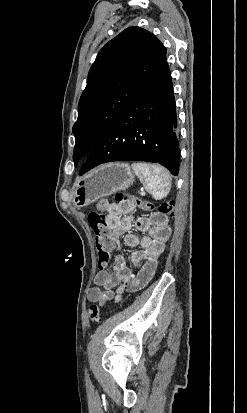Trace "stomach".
<instances>
[{"mask_svg": "<svg viewBox=\"0 0 247 413\" xmlns=\"http://www.w3.org/2000/svg\"><path fill=\"white\" fill-rule=\"evenodd\" d=\"M135 174L127 162H107L93 168L87 174L78 176L73 186V204L77 209L88 207L102 196H109L116 190H126Z\"/></svg>", "mask_w": 247, "mask_h": 413, "instance_id": "0dacf381", "label": "stomach"}]
</instances>
